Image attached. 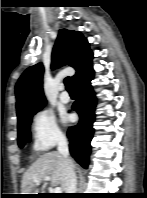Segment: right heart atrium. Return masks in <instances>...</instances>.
Segmentation results:
<instances>
[{
    "mask_svg": "<svg viewBox=\"0 0 147 198\" xmlns=\"http://www.w3.org/2000/svg\"><path fill=\"white\" fill-rule=\"evenodd\" d=\"M32 135L33 147L38 152L47 151L65 139L54 114L48 110H41L34 115Z\"/></svg>",
    "mask_w": 147,
    "mask_h": 198,
    "instance_id": "obj_1",
    "label": "right heart atrium"
}]
</instances>
